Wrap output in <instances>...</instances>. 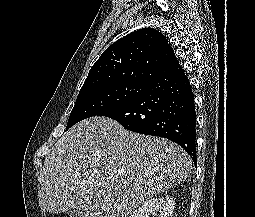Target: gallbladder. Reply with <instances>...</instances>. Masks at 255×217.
Instances as JSON below:
<instances>
[{
	"label": "gallbladder",
	"instance_id": "obj_1",
	"mask_svg": "<svg viewBox=\"0 0 255 217\" xmlns=\"http://www.w3.org/2000/svg\"><path fill=\"white\" fill-rule=\"evenodd\" d=\"M67 214H68L69 217H86L85 212L83 210H80V209H78V210H73V209L69 210L67 212Z\"/></svg>",
	"mask_w": 255,
	"mask_h": 217
}]
</instances>
